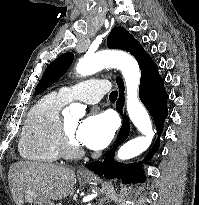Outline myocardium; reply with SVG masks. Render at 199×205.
Listing matches in <instances>:
<instances>
[{"mask_svg":"<svg viewBox=\"0 0 199 205\" xmlns=\"http://www.w3.org/2000/svg\"><path fill=\"white\" fill-rule=\"evenodd\" d=\"M56 146L59 155L66 159L77 158L83 154L79 144L70 138L64 120H61L59 124Z\"/></svg>","mask_w":199,"mask_h":205,"instance_id":"myocardium-1","label":"myocardium"}]
</instances>
